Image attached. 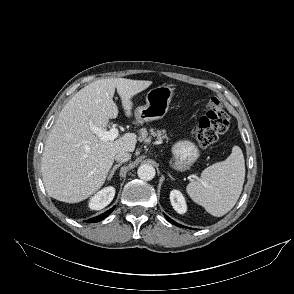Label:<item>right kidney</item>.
I'll return each mask as SVG.
<instances>
[{
    "label": "right kidney",
    "mask_w": 294,
    "mask_h": 294,
    "mask_svg": "<svg viewBox=\"0 0 294 294\" xmlns=\"http://www.w3.org/2000/svg\"><path fill=\"white\" fill-rule=\"evenodd\" d=\"M115 196V188L112 186L106 187L97 192L90 198L88 206L92 210H100L111 203Z\"/></svg>",
    "instance_id": "ca27d5eb"
}]
</instances>
